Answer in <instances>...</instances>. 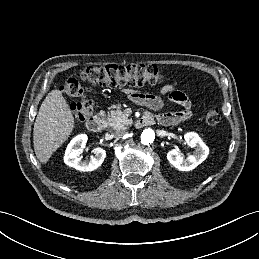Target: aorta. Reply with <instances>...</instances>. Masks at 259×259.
Instances as JSON below:
<instances>
[{"label": "aorta", "mask_w": 259, "mask_h": 259, "mask_svg": "<svg viewBox=\"0 0 259 259\" xmlns=\"http://www.w3.org/2000/svg\"><path fill=\"white\" fill-rule=\"evenodd\" d=\"M155 139V133L152 129H145L141 134V143L144 145H149L153 143Z\"/></svg>", "instance_id": "aorta-1"}]
</instances>
